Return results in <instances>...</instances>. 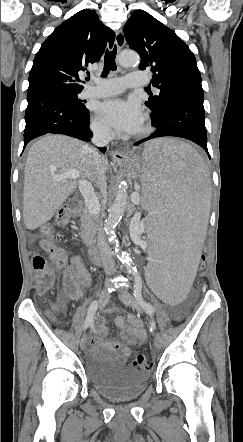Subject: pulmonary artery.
<instances>
[{
    "label": "pulmonary artery",
    "mask_w": 243,
    "mask_h": 442,
    "mask_svg": "<svg viewBox=\"0 0 243 442\" xmlns=\"http://www.w3.org/2000/svg\"><path fill=\"white\" fill-rule=\"evenodd\" d=\"M148 79L142 73L130 72L122 78H93L89 87L83 90V98H103L121 93L125 88L146 85Z\"/></svg>",
    "instance_id": "obj_1"
}]
</instances>
